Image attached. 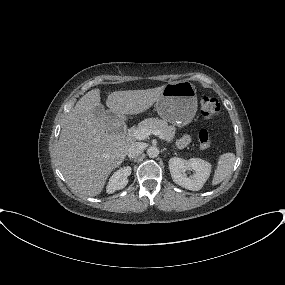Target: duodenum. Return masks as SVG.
<instances>
[{"mask_svg": "<svg viewBox=\"0 0 285 285\" xmlns=\"http://www.w3.org/2000/svg\"><path fill=\"white\" fill-rule=\"evenodd\" d=\"M110 132L113 135L123 137L125 134V125L122 121L114 120L110 127Z\"/></svg>", "mask_w": 285, "mask_h": 285, "instance_id": "1", "label": "duodenum"}]
</instances>
